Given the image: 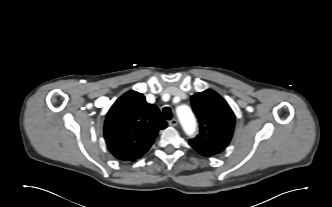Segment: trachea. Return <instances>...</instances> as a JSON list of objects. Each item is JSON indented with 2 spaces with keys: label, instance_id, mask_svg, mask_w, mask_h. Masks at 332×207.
<instances>
[{
  "label": "trachea",
  "instance_id": "trachea-1",
  "mask_svg": "<svg viewBox=\"0 0 332 207\" xmlns=\"http://www.w3.org/2000/svg\"><path fill=\"white\" fill-rule=\"evenodd\" d=\"M163 115L166 120H170L172 118V111L169 107L163 108Z\"/></svg>",
  "mask_w": 332,
  "mask_h": 207
}]
</instances>
